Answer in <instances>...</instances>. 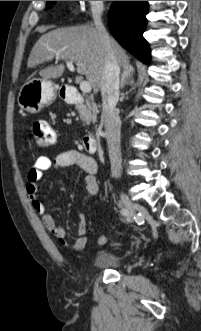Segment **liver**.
<instances>
[{
    "label": "liver",
    "mask_w": 201,
    "mask_h": 331,
    "mask_svg": "<svg viewBox=\"0 0 201 331\" xmlns=\"http://www.w3.org/2000/svg\"><path fill=\"white\" fill-rule=\"evenodd\" d=\"M109 44L114 52L119 67L132 72L129 57L123 48L109 37ZM109 49L105 37L97 29L89 26L65 27L52 30L40 37L31 50L27 67L35 68L39 64L57 60H70L77 65V72L85 75L97 93L104 82V68ZM63 63L47 67L39 72L43 79H56L63 75Z\"/></svg>",
    "instance_id": "6515ba94"
}]
</instances>
